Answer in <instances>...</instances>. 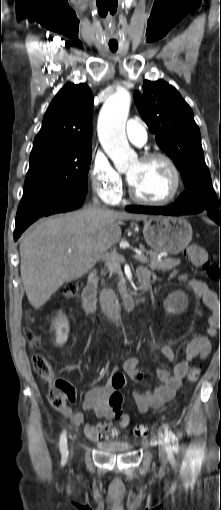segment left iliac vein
<instances>
[{"mask_svg":"<svg viewBox=\"0 0 221 510\" xmlns=\"http://www.w3.org/2000/svg\"><path fill=\"white\" fill-rule=\"evenodd\" d=\"M159 457L163 464L167 461V452H166V444H163L159 448Z\"/></svg>","mask_w":221,"mask_h":510,"instance_id":"left-iliac-vein-1","label":"left iliac vein"}]
</instances>
